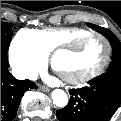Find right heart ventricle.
<instances>
[{
    "label": "right heart ventricle",
    "instance_id": "1",
    "mask_svg": "<svg viewBox=\"0 0 121 121\" xmlns=\"http://www.w3.org/2000/svg\"><path fill=\"white\" fill-rule=\"evenodd\" d=\"M86 33L87 31L81 29L70 31L57 28H31L21 30L16 40L22 45L32 46L44 57H47L57 47L70 45Z\"/></svg>",
    "mask_w": 121,
    "mask_h": 121
}]
</instances>
